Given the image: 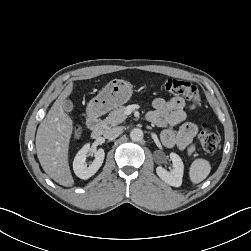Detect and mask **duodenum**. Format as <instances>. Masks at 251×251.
<instances>
[{
  "label": "duodenum",
  "instance_id": "1",
  "mask_svg": "<svg viewBox=\"0 0 251 251\" xmlns=\"http://www.w3.org/2000/svg\"><path fill=\"white\" fill-rule=\"evenodd\" d=\"M87 125L91 132L93 139H98L104 132L103 124L100 120L99 114L95 110H91L87 119Z\"/></svg>",
  "mask_w": 251,
  "mask_h": 251
}]
</instances>
